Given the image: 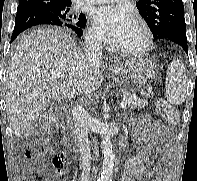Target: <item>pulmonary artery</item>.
Segmentation results:
<instances>
[{"label":"pulmonary artery","instance_id":"pulmonary-artery-1","mask_svg":"<svg viewBox=\"0 0 197 181\" xmlns=\"http://www.w3.org/2000/svg\"><path fill=\"white\" fill-rule=\"evenodd\" d=\"M119 0H83L82 4H103Z\"/></svg>","mask_w":197,"mask_h":181}]
</instances>
